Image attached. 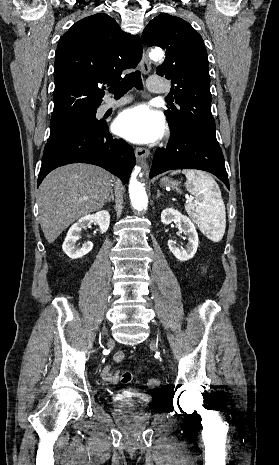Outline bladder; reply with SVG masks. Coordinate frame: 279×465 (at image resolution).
Returning <instances> with one entry per match:
<instances>
[{
  "label": "bladder",
  "instance_id": "1",
  "mask_svg": "<svg viewBox=\"0 0 279 465\" xmlns=\"http://www.w3.org/2000/svg\"><path fill=\"white\" fill-rule=\"evenodd\" d=\"M122 410H138L152 402V398L142 393L122 392L117 395Z\"/></svg>",
  "mask_w": 279,
  "mask_h": 465
}]
</instances>
